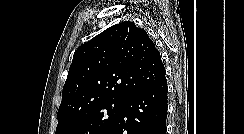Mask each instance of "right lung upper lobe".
<instances>
[{
  "mask_svg": "<svg viewBox=\"0 0 244 134\" xmlns=\"http://www.w3.org/2000/svg\"><path fill=\"white\" fill-rule=\"evenodd\" d=\"M165 75L160 53L146 31L129 21L116 24L75 51L58 120L98 102L126 100Z\"/></svg>",
  "mask_w": 244,
  "mask_h": 134,
  "instance_id": "cb5924a9",
  "label": "right lung upper lobe"
}]
</instances>
